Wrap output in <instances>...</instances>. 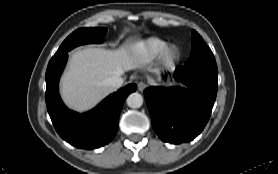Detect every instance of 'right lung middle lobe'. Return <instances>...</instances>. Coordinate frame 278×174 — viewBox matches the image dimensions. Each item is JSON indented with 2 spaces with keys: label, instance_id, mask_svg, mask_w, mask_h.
I'll return each instance as SVG.
<instances>
[{
  "label": "right lung middle lobe",
  "instance_id": "obj_1",
  "mask_svg": "<svg viewBox=\"0 0 278 174\" xmlns=\"http://www.w3.org/2000/svg\"><path fill=\"white\" fill-rule=\"evenodd\" d=\"M107 33L106 28H80L69 35L53 57H57L76 46L87 43H102Z\"/></svg>",
  "mask_w": 278,
  "mask_h": 174
}]
</instances>
